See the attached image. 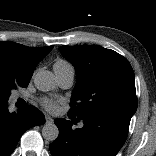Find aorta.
Returning a JSON list of instances; mask_svg holds the SVG:
<instances>
[{
    "label": "aorta",
    "instance_id": "aorta-1",
    "mask_svg": "<svg viewBox=\"0 0 156 156\" xmlns=\"http://www.w3.org/2000/svg\"><path fill=\"white\" fill-rule=\"evenodd\" d=\"M34 84L40 91L47 92L55 87L54 76L50 71H39L34 76ZM59 135L58 127L52 123H46L42 128V136L45 140L54 141Z\"/></svg>",
    "mask_w": 156,
    "mask_h": 156
}]
</instances>
